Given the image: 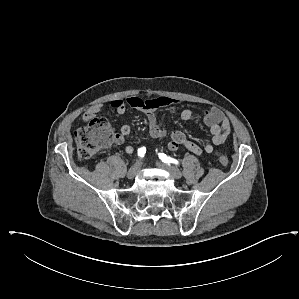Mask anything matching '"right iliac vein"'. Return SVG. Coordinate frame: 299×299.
<instances>
[{
    "instance_id": "1",
    "label": "right iliac vein",
    "mask_w": 299,
    "mask_h": 299,
    "mask_svg": "<svg viewBox=\"0 0 299 299\" xmlns=\"http://www.w3.org/2000/svg\"><path fill=\"white\" fill-rule=\"evenodd\" d=\"M142 163L140 161L136 162L128 171L127 177L133 179L140 171Z\"/></svg>"
}]
</instances>
